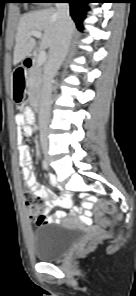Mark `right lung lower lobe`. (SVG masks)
<instances>
[{"mask_svg":"<svg viewBox=\"0 0 136 296\" xmlns=\"http://www.w3.org/2000/svg\"><path fill=\"white\" fill-rule=\"evenodd\" d=\"M70 4V15L76 23L79 30L83 29L82 21L85 18V13L89 9L86 3L91 0H64Z\"/></svg>","mask_w":136,"mask_h":296,"instance_id":"98d812e1","label":"right lung lower lobe"}]
</instances>
